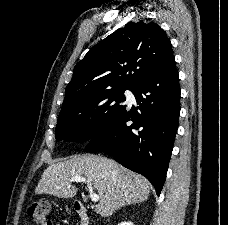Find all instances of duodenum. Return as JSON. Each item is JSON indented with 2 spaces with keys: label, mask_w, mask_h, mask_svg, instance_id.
<instances>
[{
  "label": "duodenum",
  "mask_w": 228,
  "mask_h": 225,
  "mask_svg": "<svg viewBox=\"0 0 228 225\" xmlns=\"http://www.w3.org/2000/svg\"><path fill=\"white\" fill-rule=\"evenodd\" d=\"M73 209L77 214L78 225H91L87 208L85 207L82 201L75 200L73 202Z\"/></svg>",
  "instance_id": "obj_1"
}]
</instances>
